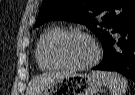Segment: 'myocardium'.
<instances>
[{
	"label": "myocardium",
	"instance_id": "obj_1",
	"mask_svg": "<svg viewBox=\"0 0 135 95\" xmlns=\"http://www.w3.org/2000/svg\"><path fill=\"white\" fill-rule=\"evenodd\" d=\"M82 36L88 39L94 48V56L93 58L88 61L87 63L81 64V65H71L63 62L57 55V47L60 44V42L68 37V36ZM48 56L50 60L57 65L59 68L67 69V70H84L88 69L89 67L93 66L99 59L100 56V48L96 40L87 32L79 30V29H68V30H62L60 31L49 43L48 46Z\"/></svg>",
	"mask_w": 135,
	"mask_h": 95
}]
</instances>
